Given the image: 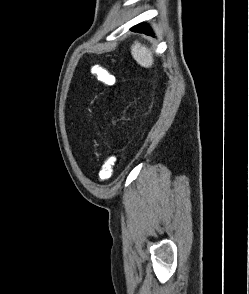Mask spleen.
Segmentation results:
<instances>
[{
  "mask_svg": "<svg viewBox=\"0 0 249 294\" xmlns=\"http://www.w3.org/2000/svg\"><path fill=\"white\" fill-rule=\"evenodd\" d=\"M131 54L135 61H137V63L142 67L149 68L153 65V56L151 51L140 42H134L131 46Z\"/></svg>",
  "mask_w": 249,
  "mask_h": 294,
  "instance_id": "3e777b00",
  "label": "spleen"
}]
</instances>
